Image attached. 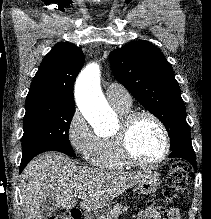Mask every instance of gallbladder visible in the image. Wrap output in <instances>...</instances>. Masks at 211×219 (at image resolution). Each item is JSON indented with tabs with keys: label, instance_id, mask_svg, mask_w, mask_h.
I'll list each match as a JSON object with an SVG mask.
<instances>
[{
	"label": "gallbladder",
	"instance_id": "1",
	"mask_svg": "<svg viewBox=\"0 0 211 219\" xmlns=\"http://www.w3.org/2000/svg\"><path fill=\"white\" fill-rule=\"evenodd\" d=\"M58 209L56 202L53 199L47 198L41 204L42 219H48Z\"/></svg>",
	"mask_w": 211,
	"mask_h": 219
}]
</instances>
